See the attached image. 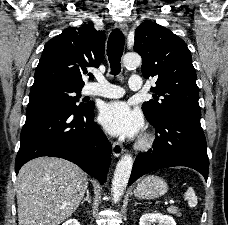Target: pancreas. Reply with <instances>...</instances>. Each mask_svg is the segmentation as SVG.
<instances>
[{"instance_id": "1", "label": "pancreas", "mask_w": 228, "mask_h": 225, "mask_svg": "<svg viewBox=\"0 0 228 225\" xmlns=\"http://www.w3.org/2000/svg\"><path fill=\"white\" fill-rule=\"evenodd\" d=\"M167 211L170 213V215H177V217H181L178 207H168Z\"/></svg>"}]
</instances>
